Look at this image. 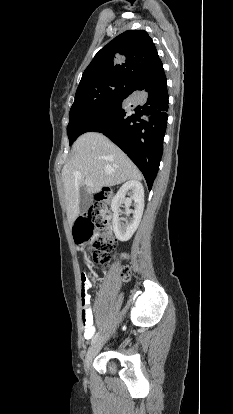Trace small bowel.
Instances as JSON below:
<instances>
[{
	"label": "small bowel",
	"instance_id": "1",
	"mask_svg": "<svg viewBox=\"0 0 233 414\" xmlns=\"http://www.w3.org/2000/svg\"><path fill=\"white\" fill-rule=\"evenodd\" d=\"M79 276L81 278V305H82V312H81V320H82V328H83V336L86 340H89L93 337L95 333V328L93 325V312L90 307V295L88 291L93 288V285L89 282V275L85 269H82L79 272Z\"/></svg>",
	"mask_w": 233,
	"mask_h": 414
}]
</instances>
